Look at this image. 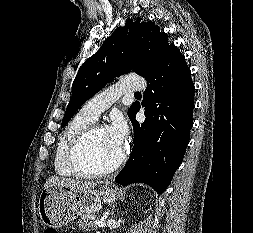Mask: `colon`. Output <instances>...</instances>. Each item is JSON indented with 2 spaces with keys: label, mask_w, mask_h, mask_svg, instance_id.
<instances>
[{
  "label": "colon",
  "mask_w": 253,
  "mask_h": 233,
  "mask_svg": "<svg viewBox=\"0 0 253 233\" xmlns=\"http://www.w3.org/2000/svg\"><path fill=\"white\" fill-rule=\"evenodd\" d=\"M44 233H58V231L55 228H47Z\"/></svg>",
  "instance_id": "colon-1"
}]
</instances>
